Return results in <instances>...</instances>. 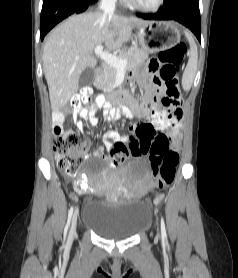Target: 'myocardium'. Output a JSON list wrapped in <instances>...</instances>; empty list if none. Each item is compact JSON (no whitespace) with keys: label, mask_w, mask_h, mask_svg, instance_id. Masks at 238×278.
I'll list each match as a JSON object with an SVG mask.
<instances>
[{"label":"myocardium","mask_w":238,"mask_h":278,"mask_svg":"<svg viewBox=\"0 0 238 278\" xmlns=\"http://www.w3.org/2000/svg\"><path fill=\"white\" fill-rule=\"evenodd\" d=\"M128 1L135 9L144 13H155L159 11L165 3V0H157L156 3L152 6H144L136 0H128Z\"/></svg>","instance_id":"f54148a6"}]
</instances>
